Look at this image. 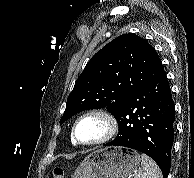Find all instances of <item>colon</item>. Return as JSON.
<instances>
[{
	"label": "colon",
	"instance_id": "colon-1",
	"mask_svg": "<svg viewBox=\"0 0 194 178\" xmlns=\"http://www.w3.org/2000/svg\"><path fill=\"white\" fill-rule=\"evenodd\" d=\"M63 170L59 167L53 169L52 178H63Z\"/></svg>",
	"mask_w": 194,
	"mask_h": 178
}]
</instances>
